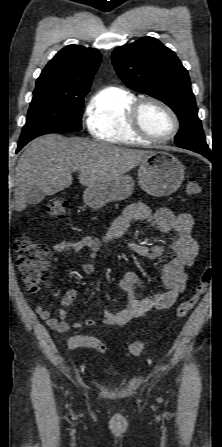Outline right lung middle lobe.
Segmentation results:
<instances>
[{"instance_id": "right-lung-middle-lobe-1", "label": "right lung middle lobe", "mask_w": 222, "mask_h": 447, "mask_svg": "<svg viewBox=\"0 0 222 447\" xmlns=\"http://www.w3.org/2000/svg\"><path fill=\"white\" fill-rule=\"evenodd\" d=\"M86 94L76 96L51 88H35L18 150L43 134L81 130L83 98Z\"/></svg>"}]
</instances>
